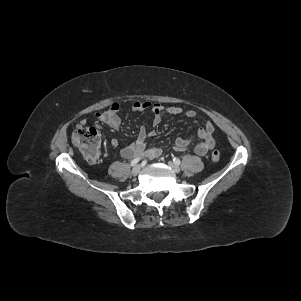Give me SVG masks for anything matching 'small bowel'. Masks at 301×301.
<instances>
[{"label": "small bowel", "instance_id": "c3829d8e", "mask_svg": "<svg viewBox=\"0 0 301 301\" xmlns=\"http://www.w3.org/2000/svg\"><path fill=\"white\" fill-rule=\"evenodd\" d=\"M135 111L150 110L152 112V125H159L166 115L175 116L184 113L188 118H195L196 112L192 109L184 111L178 106L164 107L160 103L153 102H136L131 107ZM120 105L113 103L107 110L96 113L94 119L111 129L117 130L120 127L121 120L119 117ZM85 121L80 123L84 125ZM100 129V126H98ZM214 126L211 122H205L204 126L200 127L197 131L196 137L200 140L194 147V152L199 156L206 155L210 150L215 147L214 139ZM155 133L148 132L144 126L139 130L137 139L131 144L127 145L121 150L122 157L129 159L137 155H145L150 159L158 158L162 154V150L158 147L146 148V141L153 138ZM193 138H177L174 142L173 148L177 151H183L189 148ZM111 146L116 148L118 140L113 138Z\"/></svg>", "mask_w": 301, "mask_h": 301}]
</instances>
